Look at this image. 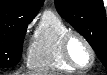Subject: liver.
<instances>
[{
  "mask_svg": "<svg viewBox=\"0 0 107 75\" xmlns=\"http://www.w3.org/2000/svg\"><path fill=\"white\" fill-rule=\"evenodd\" d=\"M14 75H36V74L30 73V72L20 74V72H16Z\"/></svg>",
  "mask_w": 107,
  "mask_h": 75,
  "instance_id": "6515ba94",
  "label": "liver"
}]
</instances>
